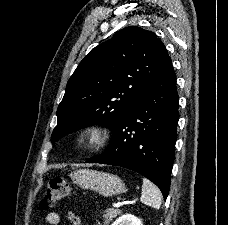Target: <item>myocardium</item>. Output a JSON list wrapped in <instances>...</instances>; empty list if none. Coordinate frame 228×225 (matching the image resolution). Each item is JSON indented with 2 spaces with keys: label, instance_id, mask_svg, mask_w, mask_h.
Returning <instances> with one entry per match:
<instances>
[{
  "label": "myocardium",
  "instance_id": "obj_1",
  "mask_svg": "<svg viewBox=\"0 0 228 225\" xmlns=\"http://www.w3.org/2000/svg\"><path fill=\"white\" fill-rule=\"evenodd\" d=\"M75 141L83 149L99 151L106 149L112 141L110 130L99 123H89L76 134Z\"/></svg>",
  "mask_w": 228,
  "mask_h": 225
}]
</instances>
